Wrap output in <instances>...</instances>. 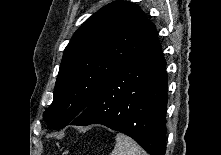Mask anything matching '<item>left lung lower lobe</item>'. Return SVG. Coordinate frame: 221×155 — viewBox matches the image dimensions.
I'll use <instances>...</instances> for the list:
<instances>
[{"mask_svg": "<svg viewBox=\"0 0 221 155\" xmlns=\"http://www.w3.org/2000/svg\"><path fill=\"white\" fill-rule=\"evenodd\" d=\"M167 81L166 61L154 30L69 124H102L127 134L150 155H165Z\"/></svg>", "mask_w": 221, "mask_h": 155, "instance_id": "0a47b994", "label": "left lung lower lobe"}]
</instances>
